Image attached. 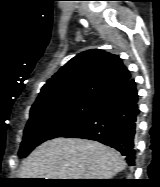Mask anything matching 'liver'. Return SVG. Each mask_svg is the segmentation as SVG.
I'll return each mask as SVG.
<instances>
[{
	"mask_svg": "<svg viewBox=\"0 0 160 187\" xmlns=\"http://www.w3.org/2000/svg\"><path fill=\"white\" fill-rule=\"evenodd\" d=\"M124 158L99 142L54 138L38 146L23 162L20 178L111 179L125 168Z\"/></svg>",
	"mask_w": 160,
	"mask_h": 187,
	"instance_id": "1",
	"label": "liver"
}]
</instances>
